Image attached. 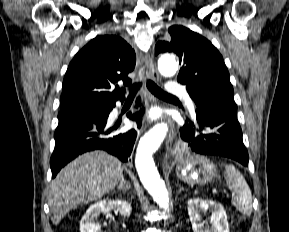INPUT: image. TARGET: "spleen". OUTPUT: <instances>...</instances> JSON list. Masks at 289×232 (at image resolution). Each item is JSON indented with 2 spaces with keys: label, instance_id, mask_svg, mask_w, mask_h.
<instances>
[{
  "label": "spleen",
  "instance_id": "obj_1",
  "mask_svg": "<svg viewBox=\"0 0 289 232\" xmlns=\"http://www.w3.org/2000/svg\"><path fill=\"white\" fill-rule=\"evenodd\" d=\"M225 180L232 191L231 202L244 216L252 213V194L244 176L233 165H225Z\"/></svg>",
  "mask_w": 289,
  "mask_h": 232
}]
</instances>
